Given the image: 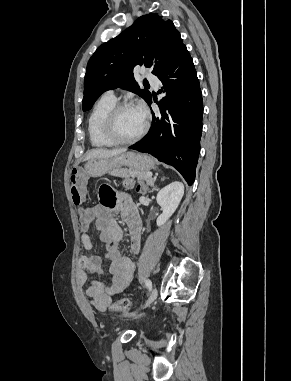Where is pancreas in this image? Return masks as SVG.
<instances>
[{
  "label": "pancreas",
  "instance_id": "obj_1",
  "mask_svg": "<svg viewBox=\"0 0 291 381\" xmlns=\"http://www.w3.org/2000/svg\"><path fill=\"white\" fill-rule=\"evenodd\" d=\"M113 176L118 177H132L137 178L139 183H143L146 181V183L151 185L154 182V179L152 177L147 176V172L139 171V170H127V169H116L110 172Z\"/></svg>",
  "mask_w": 291,
  "mask_h": 381
}]
</instances>
